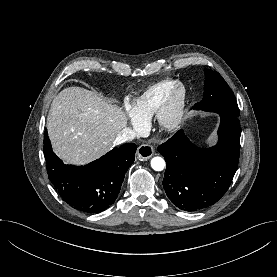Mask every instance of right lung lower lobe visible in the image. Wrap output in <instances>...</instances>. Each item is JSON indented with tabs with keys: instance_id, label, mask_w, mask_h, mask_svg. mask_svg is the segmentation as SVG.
I'll return each instance as SVG.
<instances>
[{
	"instance_id": "98d812e1",
	"label": "right lung lower lobe",
	"mask_w": 277,
	"mask_h": 277,
	"mask_svg": "<svg viewBox=\"0 0 277 277\" xmlns=\"http://www.w3.org/2000/svg\"><path fill=\"white\" fill-rule=\"evenodd\" d=\"M136 149L126 143L88 165H66L52 151L47 131L44 135L49 179L70 206L85 213H99L114 203Z\"/></svg>"
}]
</instances>
